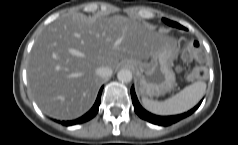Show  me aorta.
<instances>
[{"mask_svg":"<svg viewBox=\"0 0 238 145\" xmlns=\"http://www.w3.org/2000/svg\"><path fill=\"white\" fill-rule=\"evenodd\" d=\"M117 78L121 82L129 83L132 80V72L129 69H121L117 73Z\"/></svg>","mask_w":238,"mask_h":145,"instance_id":"762f6f07","label":"aorta"}]
</instances>
